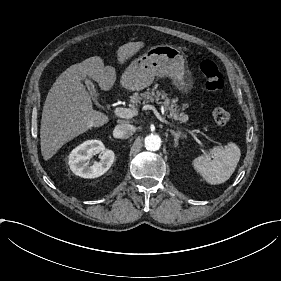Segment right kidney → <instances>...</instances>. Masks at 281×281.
I'll return each instance as SVG.
<instances>
[{"mask_svg":"<svg viewBox=\"0 0 281 281\" xmlns=\"http://www.w3.org/2000/svg\"><path fill=\"white\" fill-rule=\"evenodd\" d=\"M100 154V161L89 164L92 156ZM71 171L82 178H96L106 173L114 162L112 150L106 149L100 140H88L77 146L68 156Z\"/></svg>","mask_w":281,"mask_h":281,"instance_id":"1","label":"right kidney"}]
</instances>
